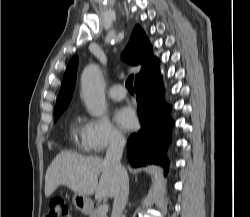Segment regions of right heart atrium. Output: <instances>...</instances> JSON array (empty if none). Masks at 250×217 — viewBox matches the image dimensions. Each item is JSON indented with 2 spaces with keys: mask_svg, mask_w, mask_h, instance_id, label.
I'll return each instance as SVG.
<instances>
[{
  "mask_svg": "<svg viewBox=\"0 0 250 217\" xmlns=\"http://www.w3.org/2000/svg\"><path fill=\"white\" fill-rule=\"evenodd\" d=\"M82 142L86 150L101 154L124 143V135L106 116L87 119L83 124Z\"/></svg>",
  "mask_w": 250,
  "mask_h": 217,
  "instance_id": "obj_1",
  "label": "right heart atrium"
}]
</instances>
